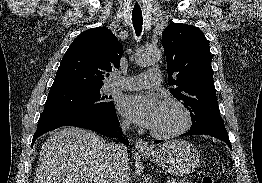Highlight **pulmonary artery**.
I'll use <instances>...</instances> for the list:
<instances>
[{
  "label": "pulmonary artery",
  "instance_id": "pulmonary-artery-1",
  "mask_svg": "<svg viewBox=\"0 0 262 183\" xmlns=\"http://www.w3.org/2000/svg\"><path fill=\"white\" fill-rule=\"evenodd\" d=\"M161 83V76L159 69H151L146 73L120 77L116 76L115 81L111 85V89L117 90H136L143 88H153L159 86Z\"/></svg>",
  "mask_w": 262,
  "mask_h": 183
}]
</instances>
